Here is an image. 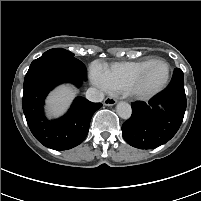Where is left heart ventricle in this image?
I'll return each instance as SVG.
<instances>
[{
	"instance_id": "b2bd125f",
	"label": "left heart ventricle",
	"mask_w": 201,
	"mask_h": 201,
	"mask_svg": "<svg viewBox=\"0 0 201 201\" xmlns=\"http://www.w3.org/2000/svg\"><path fill=\"white\" fill-rule=\"evenodd\" d=\"M166 76V66L163 63L154 64L144 77L142 88L149 90L157 87Z\"/></svg>"
}]
</instances>
